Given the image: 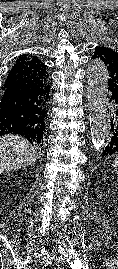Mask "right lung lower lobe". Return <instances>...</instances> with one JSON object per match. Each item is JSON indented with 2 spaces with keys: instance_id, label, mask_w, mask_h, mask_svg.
I'll return each instance as SVG.
<instances>
[{
  "instance_id": "98d812e1",
  "label": "right lung lower lobe",
  "mask_w": 118,
  "mask_h": 269,
  "mask_svg": "<svg viewBox=\"0 0 118 269\" xmlns=\"http://www.w3.org/2000/svg\"><path fill=\"white\" fill-rule=\"evenodd\" d=\"M36 90L4 89L0 96V135L12 133L25 137L32 145H43L44 131L36 125Z\"/></svg>"
}]
</instances>
